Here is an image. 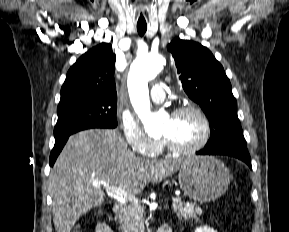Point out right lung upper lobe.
I'll return each instance as SVG.
<instances>
[{
  "mask_svg": "<svg viewBox=\"0 0 289 232\" xmlns=\"http://www.w3.org/2000/svg\"><path fill=\"white\" fill-rule=\"evenodd\" d=\"M115 60L112 46L108 43H101L82 55L67 73L59 104L97 96L117 100Z\"/></svg>",
  "mask_w": 289,
  "mask_h": 232,
  "instance_id": "obj_1",
  "label": "right lung upper lobe"
}]
</instances>
